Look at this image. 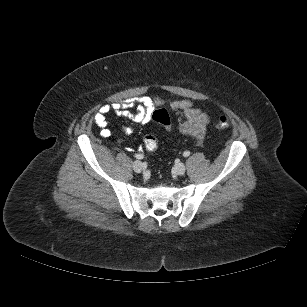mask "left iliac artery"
Returning <instances> with one entry per match:
<instances>
[{
    "label": "left iliac artery",
    "mask_w": 307,
    "mask_h": 307,
    "mask_svg": "<svg viewBox=\"0 0 307 307\" xmlns=\"http://www.w3.org/2000/svg\"><path fill=\"white\" fill-rule=\"evenodd\" d=\"M190 155V152L189 151H185L184 153H183V156L184 157H188Z\"/></svg>",
    "instance_id": "1"
}]
</instances>
